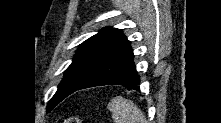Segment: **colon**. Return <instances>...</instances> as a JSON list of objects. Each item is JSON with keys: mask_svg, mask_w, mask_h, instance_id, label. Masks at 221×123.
<instances>
[{"mask_svg": "<svg viewBox=\"0 0 221 123\" xmlns=\"http://www.w3.org/2000/svg\"><path fill=\"white\" fill-rule=\"evenodd\" d=\"M61 123H88L86 120L78 116H70L60 121Z\"/></svg>", "mask_w": 221, "mask_h": 123, "instance_id": "5ec220e1", "label": "colon"}]
</instances>
